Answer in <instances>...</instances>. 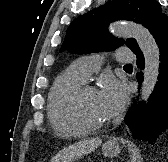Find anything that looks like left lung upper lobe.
Instances as JSON below:
<instances>
[{"label":"left lung upper lobe","instance_id":"obj_1","mask_svg":"<svg viewBox=\"0 0 168 162\" xmlns=\"http://www.w3.org/2000/svg\"><path fill=\"white\" fill-rule=\"evenodd\" d=\"M156 0H113L77 17L68 27L60 52L75 54L111 51L124 43L132 50L138 48L135 39L124 41L107 32L109 23L128 20L150 28L163 15Z\"/></svg>","mask_w":168,"mask_h":162}]
</instances>
